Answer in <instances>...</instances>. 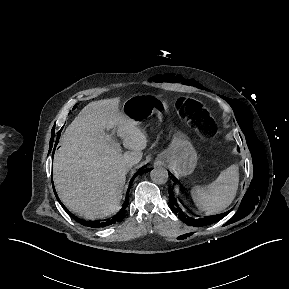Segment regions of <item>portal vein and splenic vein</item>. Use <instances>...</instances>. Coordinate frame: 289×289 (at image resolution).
<instances>
[{"instance_id": "portal-vein-and-splenic-vein-1", "label": "portal vein and splenic vein", "mask_w": 289, "mask_h": 289, "mask_svg": "<svg viewBox=\"0 0 289 289\" xmlns=\"http://www.w3.org/2000/svg\"><path fill=\"white\" fill-rule=\"evenodd\" d=\"M113 144H114L116 149H118V150L120 149V145L118 143L113 142Z\"/></svg>"}]
</instances>
